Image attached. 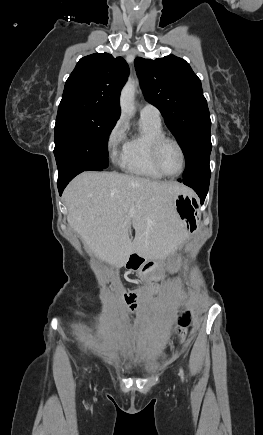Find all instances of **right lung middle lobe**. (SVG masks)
I'll return each mask as SVG.
<instances>
[{
	"mask_svg": "<svg viewBox=\"0 0 263 435\" xmlns=\"http://www.w3.org/2000/svg\"><path fill=\"white\" fill-rule=\"evenodd\" d=\"M117 118L83 106L58 108L54 155L58 171L71 164L108 167L107 141Z\"/></svg>",
	"mask_w": 263,
	"mask_h": 435,
	"instance_id": "right-lung-middle-lobe-1",
	"label": "right lung middle lobe"
}]
</instances>
